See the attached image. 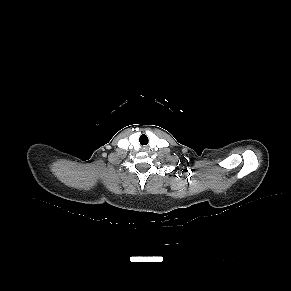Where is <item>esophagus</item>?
<instances>
[{
  "label": "esophagus",
  "mask_w": 291,
  "mask_h": 291,
  "mask_svg": "<svg viewBox=\"0 0 291 291\" xmlns=\"http://www.w3.org/2000/svg\"><path fill=\"white\" fill-rule=\"evenodd\" d=\"M142 151H148V147L147 146H143L142 147Z\"/></svg>",
  "instance_id": "obj_1"
}]
</instances>
